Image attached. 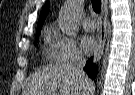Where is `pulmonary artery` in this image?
I'll list each match as a JSON object with an SVG mask.
<instances>
[{"label": "pulmonary artery", "instance_id": "obj_1", "mask_svg": "<svg viewBox=\"0 0 135 95\" xmlns=\"http://www.w3.org/2000/svg\"><path fill=\"white\" fill-rule=\"evenodd\" d=\"M83 28L87 32H93L96 29L95 22L91 17H85L83 21Z\"/></svg>", "mask_w": 135, "mask_h": 95}]
</instances>
